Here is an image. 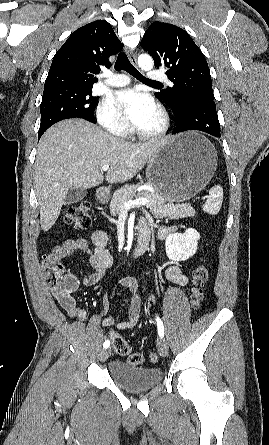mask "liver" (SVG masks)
I'll return each instance as SVG.
<instances>
[{
	"instance_id": "obj_1",
	"label": "liver",
	"mask_w": 269,
	"mask_h": 445,
	"mask_svg": "<svg viewBox=\"0 0 269 445\" xmlns=\"http://www.w3.org/2000/svg\"><path fill=\"white\" fill-rule=\"evenodd\" d=\"M168 139L129 143L83 119L64 120L52 126L40 139L34 166L42 230L48 231L55 224L71 187L88 189L102 184L104 165L110 166L107 182H126Z\"/></svg>"
}]
</instances>
